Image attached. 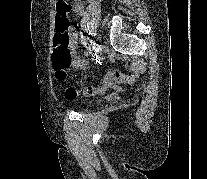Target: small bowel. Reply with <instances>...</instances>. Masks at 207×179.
Masks as SVG:
<instances>
[{
  "label": "small bowel",
  "instance_id": "1",
  "mask_svg": "<svg viewBox=\"0 0 207 179\" xmlns=\"http://www.w3.org/2000/svg\"><path fill=\"white\" fill-rule=\"evenodd\" d=\"M99 1L102 0H89V4L91 6L96 5ZM74 13L82 18V27L85 23V19H84V8L83 5L81 3L80 0H75V4H74ZM69 32H70V48L72 49V62H73V66L75 68L78 69H86L87 68V62L85 59H83L76 51L75 48L77 46V41H78V35L77 33H75V28L73 26H71L69 28Z\"/></svg>",
  "mask_w": 207,
  "mask_h": 179
}]
</instances>
